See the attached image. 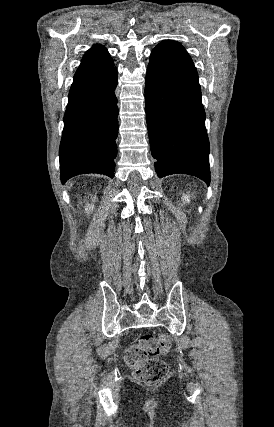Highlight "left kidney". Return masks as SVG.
<instances>
[{
    "mask_svg": "<svg viewBox=\"0 0 274 427\" xmlns=\"http://www.w3.org/2000/svg\"><path fill=\"white\" fill-rule=\"evenodd\" d=\"M182 200H183V204H189L190 196H188V194H183Z\"/></svg>",
    "mask_w": 274,
    "mask_h": 427,
    "instance_id": "5707ae66",
    "label": "left kidney"
}]
</instances>
